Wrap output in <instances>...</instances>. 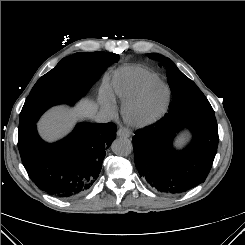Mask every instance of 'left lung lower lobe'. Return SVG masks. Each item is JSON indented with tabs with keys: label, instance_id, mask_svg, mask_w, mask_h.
<instances>
[{
	"label": "left lung lower lobe",
	"instance_id": "left-lung-lower-lobe-1",
	"mask_svg": "<svg viewBox=\"0 0 245 245\" xmlns=\"http://www.w3.org/2000/svg\"><path fill=\"white\" fill-rule=\"evenodd\" d=\"M183 128L191 130L192 141L178 151L173 139ZM132 141L140 176L162 193L177 194L206 179L217 152V121L214 111L184 108L137 130Z\"/></svg>",
	"mask_w": 245,
	"mask_h": 245
}]
</instances>
